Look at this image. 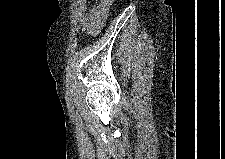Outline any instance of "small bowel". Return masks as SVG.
Returning a JSON list of instances; mask_svg holds the SVG:
<instances>
[{
	"label": "small bowel",
	"mask_w": 225,
	"mask_h": 159,
	"mask_svg": "<svg viewBox=\"0 0 225 159\" xmlns=\"http://www.w3.org/2000/svg\"><path fill=\"white\" fill-rule=\"evenodd\" d=\"M112 0H101L91 8H87L85 0L77 1V16L90 34H96L104 23Z\"/></svg>",
	"instance_id": "small-bowel-1"
}]
</instances>
